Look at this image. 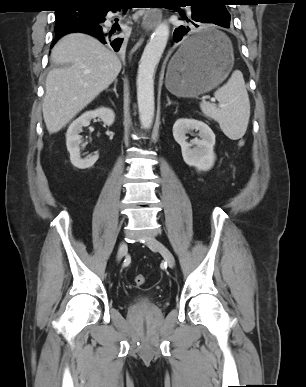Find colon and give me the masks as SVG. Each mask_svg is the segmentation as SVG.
<instances>
[{"label":"colon","instance_id":"5ec220e1","mask_svg":"<svg viewBox=\"0 0 306 387\" xmlns=\"http://www.w3.org/2000/svg\"><path fill=\"white\" fill-rule=\"evenodd\" d=\"M145 276L142 275V274H138L134 277V284L137 286V287H141L142 285H144L145 283Z\"/></svg>","mask_w":306,"mask_h":387}]
</instances>
